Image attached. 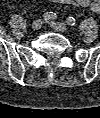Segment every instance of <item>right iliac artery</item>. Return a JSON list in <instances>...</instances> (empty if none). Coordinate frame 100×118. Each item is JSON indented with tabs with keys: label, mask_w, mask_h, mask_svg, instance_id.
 <instances>
[{
	"label": "right iliac artery",
	"mask_w": 100,
	"mask_h": 118,
	"mask_svg": "<svg viewBox=\"0 0 100 118\" xmlns=\"http://www.w3.org/2000/svg\"><path fill=\"white\" fill-rule=\"evenodd\" d=\"M56 18V14L53 12H46L43 15V19L45 21H50V20H54Z\"/></svg>",
	"instance_id": "obj_1"
}]
</instances>
